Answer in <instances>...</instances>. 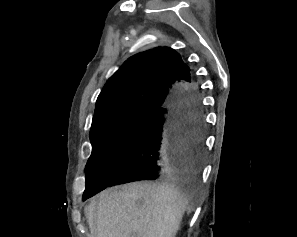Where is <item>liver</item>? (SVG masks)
<instances>
[{"mask_svg":"<svg viewBox=\"0 0 297 237\" xmlns=\"http://www.w3.org/2000/svg\"><path fill=\"white\" fill-rule=\"evenodd\" d=\"M190 199L172 183L109 188L85 208L90 237H175Z\"/></svg>","mask_w":297,"mask_h":237,"instance_id":"liver-1","label":"liver"}]
</instances>
